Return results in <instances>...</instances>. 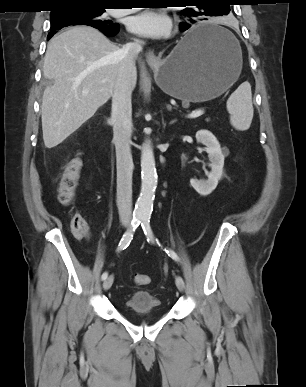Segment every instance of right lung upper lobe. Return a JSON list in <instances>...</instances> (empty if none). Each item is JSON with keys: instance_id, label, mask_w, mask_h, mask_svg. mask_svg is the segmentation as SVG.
<instances>
[{"instance_id": "1", "label": "right lung upper lobe", "mask_w": 306, "mask_h": 387, "mask_svg": "<svg viewBox=\"0 0 306 387\" xmlns=\"http://www.w3.org/2000/svg\"><path fill=\"white\" fill-rule=\"evenodd\" d=\"M110 0H56L57 9L51 12H59L62 8L73 6H98L105 7L110 4Z\"/></svg>"}]
</instances>
